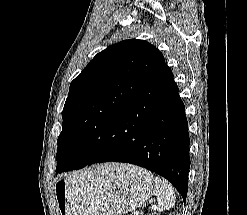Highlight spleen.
Masks as SVG:
<instances>
[{
  "instance_id": "obj_1",
  "label": "spleen",
  "mask_w": 247,
  "mask_h": 215,
  "mask_svg": "<svg viewBox=\"0 0 247 215\" xmlns=\"http://www.w3.org/2000/svg\"><path fill=\"white\" fill-rule=\"evenodd\" d=\"M154 193L157 196V205L152 209L157 211L169 210L175 205V192L172 185L165 179L156 177L154 179Z\"/></svg>"
}]
</instances>
